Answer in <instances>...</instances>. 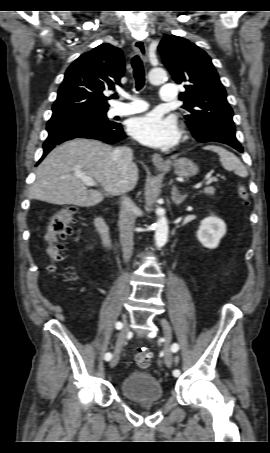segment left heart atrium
<instances>
[{
    "label": "left heart atrium",
    "mask_w": 270,
    "mask_h": 453,
    "mask_svg": "<svg viewBox=\"0 0 270 453\" xmlns=\"http://www.w3.org/2000/svg\"><path fill=\"white\" fill-rule=\"evenodd\" d=\"M128 131L142 144L162 149L175 145L180 136L175 119L159 113L132 119L128 124Z\"/></svg>",
    "instance_id": "obj_1"
}]
</instances>
